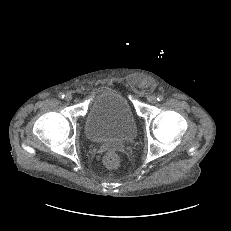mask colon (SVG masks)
<instances>
[{
  "label": "colon",
  "mask_w": 231,
  "mask_h": 231,
  "mask_svg": "<svg viewBox=\"0 0 231 231\" xmlns=\"http://www.w3.org/2000/svg\"><path fill=\"white\" fill-rule=\"evenodd\" d=\"M104 164L109 168H116L119 166L120 158L115 152H108L104 156Z\"/></svg>",
  "instance_id": "1"
}]
</instances>
